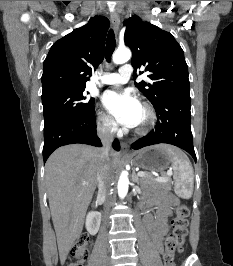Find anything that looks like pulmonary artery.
I'll return each instance as SVG.
<instances>
[{"label":"pulmonary artery","mask_w":233,"mask_h":266,"mask_svg":"<svg viewBox=\"0 0 233 266\" xmlns=\"http://www.w3.org/2000/svg\"><path fill=\"white\" fill-rule=\"evenodd\" d=\"M133 73L130 65L122 66L118 72L106 73L101 78V83L106 85H120L126 83Z\"/></svg>","instance_id":"obj_1"}]
</instances>
